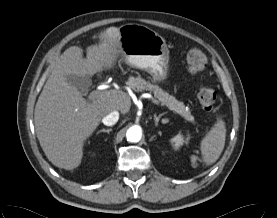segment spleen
Masks as SVG:
<instances>
[{
  "label": "spleen",
  "instance_id": "spleen-1",
  "mask_svg": "<svg viewBox=\"0 0 277 218\" xmlns=\"http://www.w3.org/2000/svg\"><path fill=\"white\" fill-rule=\"evenodd\" d=\"M226 139V125L221 117L211 127L210 131L201 141V152L203 160L207 165H211L221 155Z\"/></svg>",
  "mask_w": 277,
  "mask_h": 218
}]
</instances>
